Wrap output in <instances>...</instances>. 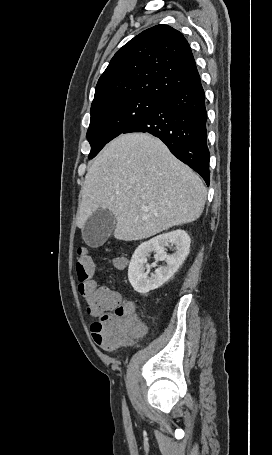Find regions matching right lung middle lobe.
<instances>
[{
  "label": "right lung middle lobe",
  "mask_w": 272,
  "mask_h": 455,
  "mask_svg": "<svg viewBox=\"0 0 272 455\" xmlns=\"http://www.w3.org/2000/svg\"><path fill=\"white\" fill-rule=\"evenodd\" d=\"M164 99L134 96L91 108L87 139L91 145L89 159L95 157L109 141L162 105Z\"/></svg>",
  "instance_id": "1"
}]
</instances>
